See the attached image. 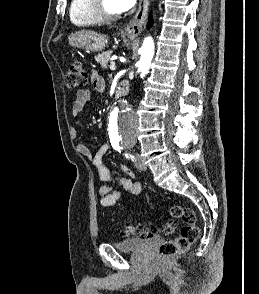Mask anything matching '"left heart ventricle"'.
Segmentation results:
<instances>
[{
    "label": "left heart ventricle",
    "instance_id": "1",
    "mask_svg": "<svg viewBox=\"0 0 259 294\" xmlns=\"http://www.w3.org/2000/svg\"><path fill=\"white\" fill-rule=\"evenodd\" d=\"M103 5L111 13H119L121 12L114 0H103Z\"/></svg>",
    "mask_w": 259,
    "mask_h": 294
}]
</instances>
